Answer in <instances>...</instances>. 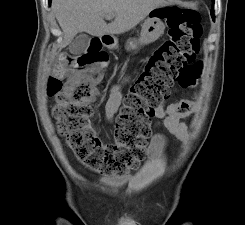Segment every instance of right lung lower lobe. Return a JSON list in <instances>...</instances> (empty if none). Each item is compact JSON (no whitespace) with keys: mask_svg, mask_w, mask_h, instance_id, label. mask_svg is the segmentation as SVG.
<instances>
[{"mask_svg":"<svg viewBox=\"0 0 245 225\" xmlns=\"http://www.w3.org/2000/svg\"><path fill=\"white\" fill-rule=\"evenodd\" d=\"M52 0H49V4L51 3Z\"/></svg>","mask_w":245,"mask_h":225,"instance_id":"obj_1","label":"right lung lower lobe"}]
</instances>
